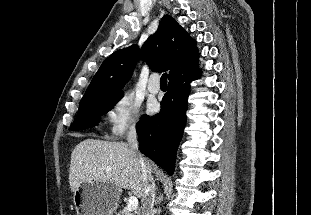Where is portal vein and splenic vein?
Listing matches in <instances>:
<instances>
[{
  "instance_id": "18ae733b",
  "label": "portal vein and splenic vein",
  "mask_w": 311,
  "mask_h": 215,
  "mask_svg": "<svg viewBox=\"0 0 311 215\" xmlns=\"http://www.w3.org/2000/svg\"><path fill=\"white\" fill-rule=\"evenodd\" d=\"M138 208V199L135 196H131L128 200L126 209L132 212Z\"/></svg>"
}]
</instances>
